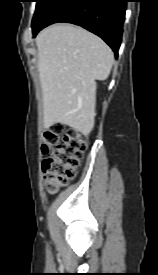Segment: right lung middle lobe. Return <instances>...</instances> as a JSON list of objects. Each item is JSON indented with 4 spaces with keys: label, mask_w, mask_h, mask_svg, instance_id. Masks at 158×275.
<instances>
[{
    "label": "right lung middle lobe",
    "mask_w": 158,
    "mask_h": 275,
    "mask_svg": "<svg viewBox=\"0 0 158 275\" xmlns=\"http://www.w3.org/2000/svg\"><path fill=\"white\" fill-rule=\"evenodd\" d=\"M56 2V0H37L35 14L32 20V26L35 25L47 12V10Z\"/></svg>",
    "instance_id": "right-lung-middle-lobe-1"
}]
</instances>
